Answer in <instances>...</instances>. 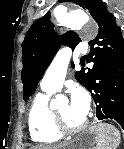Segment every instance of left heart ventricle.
Instances as JSON below:
<instances>
[{"label": "left heart ventricle", "mask_w": 124, "mask_h": 149, "mask_svg": "<svg viewBox=\"0 0 124 149\" xmlns=\"http://www.w3.org/2000/svg\"><path fill=\"white\" fill-rule=\"evenodd\" d=\"M56 110L61 114L65 122L70 126L80 125L85 120V118L72 112L69 102L59 104Z\"/></svg>", "instance_id": "1"}]
</instances>
